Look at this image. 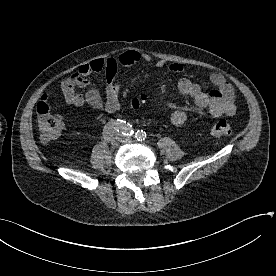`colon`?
Masks as SVG:
<instances>
[{
  "mask_svg": "<svg viewBox=\"0 0 276 276\" xmlns=\"http://www.w3.org/2000/svg\"><path fill=\"white\" fill-rule=\"evenodd\" d=\"M147 99V94L143 93L131 101L130 107L136 109L142 103L146 102ZM36 115L42 141L49 142L61 134L63 122L58 115L51 111L49 103L43 100L38 102L36 106ZM231 133L232 127L230 123L224 119L217 120L211 127V134L215 137L225 138L230 136Z\"/></svg>",
  "mask_w": 276,
  "mask_h": 276,
  "instance_id": "5ec220e1",
  "label": "colon"
}]
</instances>
